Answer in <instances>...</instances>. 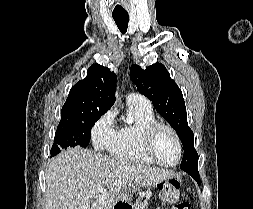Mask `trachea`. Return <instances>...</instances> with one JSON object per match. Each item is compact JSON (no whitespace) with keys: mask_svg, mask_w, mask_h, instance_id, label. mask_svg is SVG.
<instances>
[{"mask_svg":"<svg viewBox=\"0 0 253 209\" xmlns=\"http://www.w3.org/2000/svg\"><path fill=\"white\" fill-rule=\"evenodd\" d=\"M115 23L117 24L119 30L122 33H125L128 28V15H120V16H113Z\"/></svg>","mask_w":253,"mask_h":209,"instance_id":"obj_1","label":"trachea"}]
</instances>
